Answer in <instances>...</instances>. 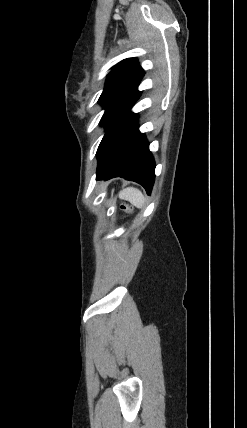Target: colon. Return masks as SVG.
<instances>
[{
	"label": "colon",
	"mask_w": 247,
	"mask_h": 428,
	"mask_svg": "<svg viewBox=\"0 0 247 428\" xmlns=\"http://www.w3.org/2000/svg\"><path fill=\"white\" fill-rule=\"evenodd\" d=\"M121 208H122V210H124L126 212H130L131 211L130 207L128 205H126V204H122Z\"/></svg>",
	"instance_id": "obj_1"
}]
</instances>
